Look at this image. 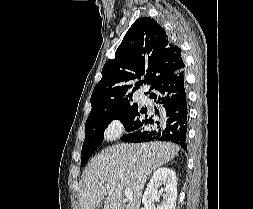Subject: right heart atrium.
<instances>
[{
	"label": "right heart atrium",
	"mask_w": 253,
	"mask_h": 209,
	"mask_svg": "<svg viewBox=\"0 0 253 209\" xmlns=\"http://www.w3.org/2000/svg\"><path fill=\"white\" fill-rule=\"evenodd\" d=\"M122 132V124L119 120L111 121L104 131V137L107 140H114L119 137Z\"/></svg>",
	"instance_id": "right-heart-atrium-1"
}]
</instances>
